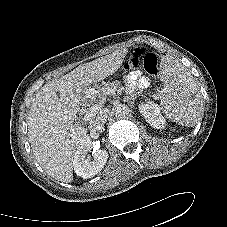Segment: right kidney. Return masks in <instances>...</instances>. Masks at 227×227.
<instances>
[{
  "label": "right kidney",
  "instance_id": "obj_1",
  "mask_svg": "<svg viewBox=\"0 0 227 227\" xmlns=\"http://www.w3.org/2000/svg\"><path fill=\"white\" fill-rule=\"evenodd\" d=\"M95 146L90 137H85L79 143L73 159L74 171L84 179L91 178L98 174L108 159L106 150H93V159L87 157L89 151Z\"/></svg>",
  "mask_w": 227,
  "mask_h": 227
}]
</instances>
